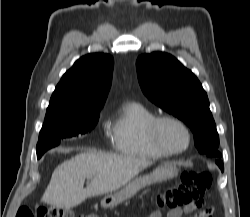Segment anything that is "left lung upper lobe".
I'll use <instances>...</instances> for the list:
<instances>
[{"instance_id":"5c2ea615","label":"left lung upper lobe","mask_w":250,"mask_h":217,"mask_svg":"<svg viewBox=\"0 0 250 217\" xmlns=\"http://www.w3.org/2000/svg\"><path fill=\"white\" fill-rule=\"evenodd\" d=\"M136 66L147 98L190 127L201 154L221 157L209 100L197 77L172 55L162 52L141 55Z\"/></svg>"}]
</instances>
